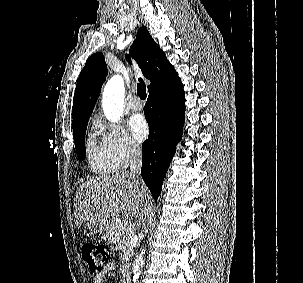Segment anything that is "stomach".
I'll list each match as a JSON object with an SVG mask.
<instances>
[{"instance_id": "stomach-1", "label": "stomach", "mask_w": 303, "mask_h": 283, "mask_svg": "<svg viewBox=\"0 0 303 283\" xmlns=\"http://www.w3.org/2000/svg\"><path fill=\"white\" fill-rule=\"evenodd\" d=\"M112 223V221L104 219L88 221L87 227L90 231V234L101 236L110 231Z\"/></svg>"}]
</instances>
